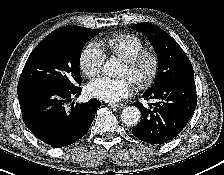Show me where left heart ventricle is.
Here are the masks:
<instances>
[{
    "mask_svg": "<svg viewBox=\"0 0 224 175\" xmlns=\"http://www.w3.org/2000/svg\"><path fill=\"white\" fill-rule=\"evenodd\" d=\"M147 70V66H143L142 69L139 71L138 75H144L146 73ZM121 75L122 76H128L133 82L136 78V75H132L130 74L128 68L126 67V65L123 66L122 70H121Z\"/></svg>",
    "mask_w": 224,
    "mask_h": 175,
    "instance_id": "b2bd125f",
    "label": "left heart ventricle"
}]
</instances>
